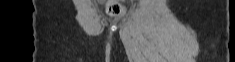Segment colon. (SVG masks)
Listing matches in <instances>:
<instances>
[{
	"mask_svg": "<svg viewBox=\"0 0 235 62\" xmlns=\"http://www.w3.org/2000/svg\"><path fill=\"white\" fill-rule=\"evenodd\" d=\"M106 11L113 18H119L124 15L125 7L120 0H108Z\"/></svg>",
	"mask_w": 235,
	"mask_h": 62,
	"instance_id": "colon-1",
	"label": "colon"
}]
</instances>
